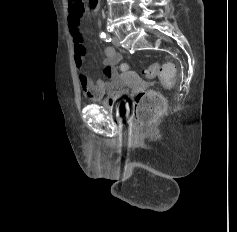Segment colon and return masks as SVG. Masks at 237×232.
Instances as JSON below:
<instances>
[{
  "label": "colon",
  "mask_w": 237,
  "mask_h": 232,
  "mask_svg": "<svg viewBox=\"0 0 237 232\" xmlns=\"http://www.w3.org/2000/svg\"><path fill=\"white\" fill-rule=\"evenodd\" d=\"M69 7L77 16H82L85 12L83 0H69ZM125 68L126 66H123V69ZM143 73L149 78L158 76L165 87H171L175 81L176 70L170 63H153ZM135 101L134 121L141 129L150 128L164 110L162 96L155 91H145L137 94Z\"/></svg>",
  "instance_id": "1"
}]
</instances>
